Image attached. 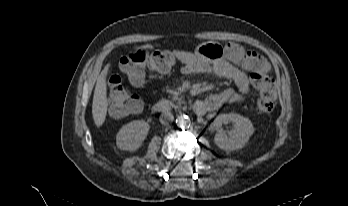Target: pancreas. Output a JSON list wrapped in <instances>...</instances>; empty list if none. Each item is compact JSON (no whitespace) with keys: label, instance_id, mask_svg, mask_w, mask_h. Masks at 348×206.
<instances>
[{"label":"pancreas","instance_id":"cf45deb5","mask_svg":"<svg viewBox=\"0 0 348 206\" xmlns=\"http://www.w3.org/2000/svg\"><path fill=\"white\" fill-rule=\"evenodd\" d=\"M183 97H184L183 95H181V96L179 97L178 93H177V92H174V93H173V96H172V100H173V101H177L178 104H181V103L184 102Z\"/></svg>","mask_w":348,"mask_h":206}]
</instances>
